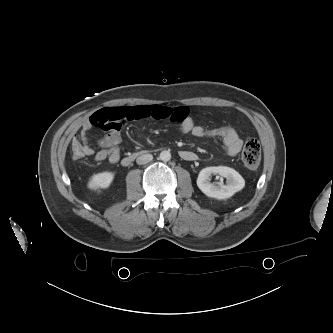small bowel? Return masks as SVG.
Wrapping results in <instances>:
<instances>
[{
    "instance_id": "obj_1",
    "label": "small bowel",
    "mask_w": 333,
    "mask_h": 333,
    "mask_svg": "<svg viewBox=\"0 0 333 333\" xmlns=\"http://www.w3.org/2000/svg\"><path fill=\"white\" fill-rule=\"evenodd\" d=\"M153 118L156 120H168L178 124L184 133L196 137H204L206 129L195 123L190 116L189 109L184 106L132 105L103 108L93 113L82 125L80 138L86 157H92L100 162L108 160L117 163L120 158L119 145L122 140V126L129 120H143ZM92 127H99L106 131V135L99 139L100 149H95L88 143L87 133ZM224 150L228 156H236L240 153L243 141L237 131L228 127L226 133L220 137ZM181 157L185 160H194L195 154L190 151H182Z\"/></svg>"
}]
</instances>
